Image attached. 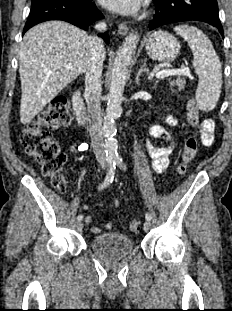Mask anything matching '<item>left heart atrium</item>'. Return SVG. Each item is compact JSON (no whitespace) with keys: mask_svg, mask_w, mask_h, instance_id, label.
<instances>
[{"mask_svg":"<svg viewBox=\"0 0 232 311\" xmlns=\"http://www.w3.org/2000/svg\"><path fill=\"white\" fill-rule=\"evenodd\" d=\"M107 9L121 14H131L137 11L141 0H99Z\"/></svg>","mask_w":232,"mask_h":311,"instance_id":"39dd6f15","label":"left heart atrium"}]
</instances>
